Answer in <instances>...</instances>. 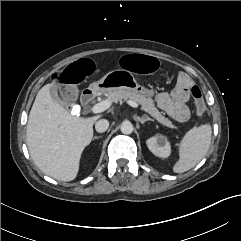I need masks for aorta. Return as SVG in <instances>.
<instances>
[{
	"mask_svg": "<svg viewBox=\"0 0 241 241\" xmlns=\"http://www.w3.org/2000/svg\"><path fill=\"white\" fill-rule=\"evenodd\" d=\"M120 129H121V132L123 134L128 135V134H131L133 132L134 127H133V125L130 121H123Z\"/></svg>",
	"mask_w": 241,
	"mask_h": 241,
	"instance_id": "1",
	"label": "aorta"
}]
</instances>
